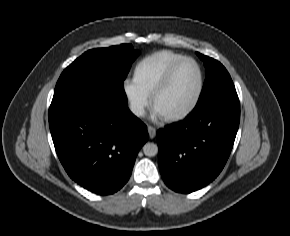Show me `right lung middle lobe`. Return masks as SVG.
<instances>
[{
	"label": "right lung middle lobe",
	"instance_id": "obj_1",
	"mask_svg": "<svg viewBox=\"0 0 290 236\" xmlns=\"http://www.w3.org/2000/svg\"><path fill=\"white\" fill-rule=\"evenodd\" d=\"M138 55L130 44L85 52L62 72L52 103L127 104L124 80Z\"/></svg>",
	"mask_w": 290,
	"mask_h": 236
}]
</instances>
